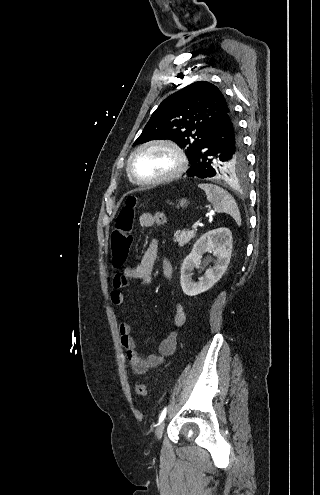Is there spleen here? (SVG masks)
Listing matches in <instances>:
<instances>
[{"label": "spleen", "mask_w": 320, "mask_h": 495, "mask_svg": "<svg viewBox=\"0 0 320 495\" xmlns=\"http://www.w3.org/2000/svg\"><path fill=\"white\" fill-rule=\"evenodd\" d=\"M199 187L205 191L208 201L213 204L217 213L229 214L238 226L241 225L238 206L234 198L227 191L213 184H199Z\"/></svg>", "instance_id": "obj_1"}]
</instances>
